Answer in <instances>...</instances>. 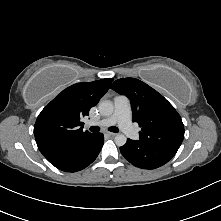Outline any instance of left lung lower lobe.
<instances>
[{
  "mask_svg": "<svg viewBox=\"0 0 221 221\" xmlns=\"http://www.w3.org/2000/svg\"><path fill=\"white\" fill-rule=\"evenodd\" d=\"M177 150L167 146L144 144L131 139H127L126 144L120 147L126 160L134 166L144 169H155L166 164Z\"/></svg>",
  "mask_w": 221,
  "mask_h": 221,
  "instance_id": "obj_1",
  "label": "left lung lower lobe"
}]
</instances>
